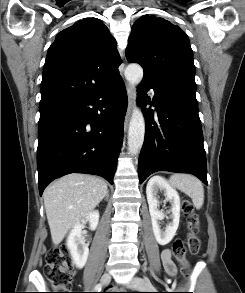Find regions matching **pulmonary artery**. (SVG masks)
I'll return each instance as SVG.
<instances>
[{
	"mask_svg": "<svg viewBox=\"0 0 245 293\" xmlns=\"http://www.w3.org/2000/svg\"><path fill=\"white\" fill-rule=\"evenodd\" d=\"M150 96L153 97L154 96V92L150 91Z\"/></svg>",
	"mask_w": 245,
	"mask_h": 293,
	"instance_id": "obj_1",
	"label": "pulmonary artery"
}]
</instances>
